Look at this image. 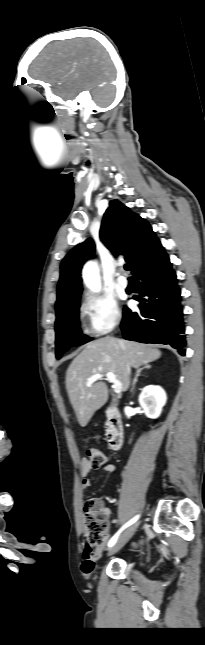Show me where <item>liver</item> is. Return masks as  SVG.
<instances>
[{
	"instance_id": "liver-1",
	"label": "liver",
	"mask_w": 205,
	"mask_h": 645,
	"mask_svg": "<svg viewBox=\"0 0 205 645\" xmlns=\"http://www.w3.org/2000/svg\"><path fill=\"white\" fill-rule=\"evenodd\" d=\"M160 356L161 352L156 348L111 336L87 343L66 372V390L80 426L85 427L94 412L108 400L104 377L91 387L86 385L92 375L114 373L122 384V390L126 391L130 385L131 368H139Z\"/></svg>"
}]
</instances>
